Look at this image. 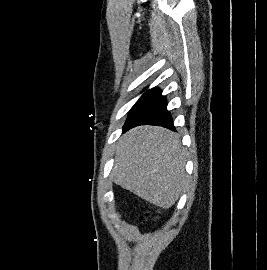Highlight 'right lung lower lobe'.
<instances>
[{"label": "right lung lower lobe", "mask_w": 267, "mask_h": 270, "mask_svg": "<svg viewBox=\"0 0 267 270\" xmlns=\"http://www.w3.org/2000/svg\"><path fill=\"white\" fill-rule=\"evenodd\" d=\"M138 125H157L174 130L167 101L158 88L148 90L131 109L123 132Z\"/></svg>", "instance_id": "right-lung-lower-lobe-1"}]
</instances>
